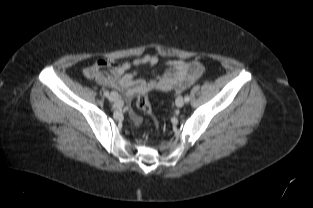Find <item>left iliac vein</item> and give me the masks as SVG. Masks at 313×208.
Returning a JSON list of instances; mask_svg holds the SVG:
<instances>
[{"instance_id":"1","label":"left iliac vein","mask_w":313,"mask_h":208,"mask_svg":"<svg viewBox=\"0 0 313 208\" xmlns=\"http://www.w3.org/2000/svg\"><path fill=\"white\" fill-rule=\"evenodd\" d=\"M184 103H185V100L183 99V97H177L176 98V101H175V104L177 107H183L184 106Z\"/></svg>"}]
</instances>
